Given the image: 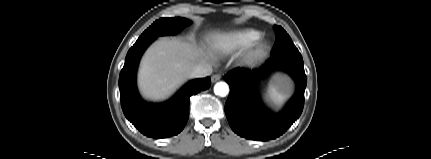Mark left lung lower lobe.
Returning a JSON list of instances; mask_svg holds the SVG:
<instances>
[{
  "label": "left lung lower lobe",
  "instance_id": "0a47b994",
  "mask_svg": "<svg viewBox=\"0 0 431 159\" xmlns=\"http://www.w3.org/2000/svg\"><path fill=\"white\" fill-rule=\"evenodd\" d=\"M270 69L289 73L297 85L295 95L285 109L273 114L254 93L253 78ZM223 79L230 85V94L225 104V113L232 130L241 137L255 141H268L281 136L299 118L304 106L306 75L303 59L294 57H271L256 70L235 68Z\"/></svg>",
  "mask_w": 431,
  "mask_h": 159
}]
</instances>
